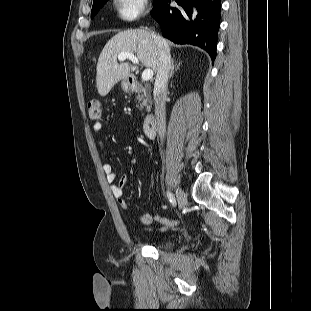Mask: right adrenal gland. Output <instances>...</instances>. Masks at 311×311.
Listing matches in <instances>:
<instances>
[{
  "label": "right adrenal gland",
  "mask_w": 311,
  "mask_h": 311,
  "mask_svg": "<svg viewBox=\"0 0 311 311\" xmlns=\"http://www.w3.org/2000/svg\"><path fill=\"white\" fill-rule=\"evenodd\" d=\"M181 62L178 63V65L174 64V59L171 60V68H170V74L169 79H171L174 75V72L179 68Z\"/></svg>",
  "instance_id": "2a0ac1e0"
}]
</instances>
